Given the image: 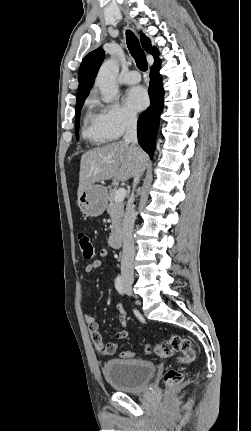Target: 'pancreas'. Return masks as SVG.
<instances>
[{
    "label": "pancreas",
    "instance_id": "1",
    "mask_svg": "<svg viewBox=\"0 0 251 431\" xmlns=\"http://www.w3.org/2000/svg\"><path fill=\"white\" fill-rule=\"evenodd\" d=\"M116 188L109 187V192L107 193V201L109 202L106 206L107 213L111 218V232L112 234L119 233L121 231V222L124 216V203L123 201H115Z\"/></svg>",
    "mask_w": 251,
    "mask_h": 431
}]
</instances>
